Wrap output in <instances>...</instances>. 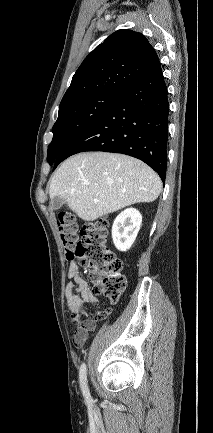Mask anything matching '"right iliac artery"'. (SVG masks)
Listing matches in <instances>:
<instances>
[{
    "instance_id": "1",
    "label": "right iliac artery",
    "mask_w": 213,
    "mask_h": 433,
    "mask_svg": "<svg viewBox=\"0 0 213 433\" xmlns=\"http://www.w3.org/2000/svg\"><path fill=\"white\" fill-rule=\"evenodd\" d=\"M79 379H80V386L83 393V396L88 404H91V396L89 393V389L87 386V372H86V364L83 363L80 367L79 371Z\"/></svg>"
}]
</instances>
